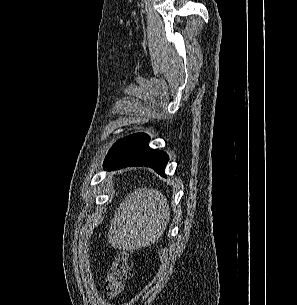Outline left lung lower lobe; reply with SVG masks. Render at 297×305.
<instances>
[{
    "instance_id": "left-lung-lower-lobe-1",
    "label": "left lung lower lobe",
    "mask_w": 297,
    "mask_h": 305,
    "mask_svg": "<svg viewBox=\"0 0 297 305\" xmlns=\"http://www.w3.org/2000/svg\"><path fill=\"white\" fill-rule=\"evenodd\" d=\"M149 139L146 134L142 133L118 140L109 150L104 161V168L117 170L129 166H146L165 176V167L169 157L163 151L151 149L148 146Z\"/></svg>"
}]
</instances>
